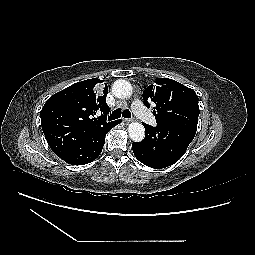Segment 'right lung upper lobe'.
<instances>
[{
  "mask_svg": "<svg viewBox=\"0 0 255 255\" xmlns=\"http://www.w3.org/2000/svg\"><path fill=\"white\" fill-rule=\"evenodd\" d=\"M98 78L77 82L51 96L40 112L41 126L46 140L60 157L86 133L112 122H106L110 109L105 85L101 93H97L95 85L101 83ZM101 113L99 118H93Z\"/></svg>",
  "mask_w": 255,
  "mask_h": 255,
  "instance_id": "cb5924a9",
  "label": "right lung upper lobe"
}]
</instances>
